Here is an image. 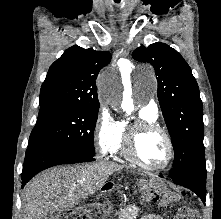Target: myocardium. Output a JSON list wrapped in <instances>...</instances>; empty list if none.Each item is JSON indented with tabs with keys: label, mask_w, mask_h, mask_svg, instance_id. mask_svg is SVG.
Wrapping results in <instances>:
<instances>
[{
	"label": "myocardium",
	"mask_w": 221,
	"mask_h": 219,
	"mask_svg": "<svg viewBox=\"0 0 221 219\" xmlns=\"http://www.w3.org/2000/svg\"><path fill=\"white\" fill-rule=\"evenodd\" d=\"M146 132L160 133L164 137L167 143L168 154H167L166 161L162 166H159V167L150 166L146 164L145 162H143L137 154V150H136L137 141L139 137ZM123 151H124L125 156L131 162L138 165L142 169H145L147 171H152V172H162V171L167 170L171 166L173 159H174V155H175L174 144L169 133L157 123L142 120V119L136 120L132 124L128 125L126 133H125V138H124Z\"/></svg>",
	"instance_id": "f54148a6"
}]
</instances>
